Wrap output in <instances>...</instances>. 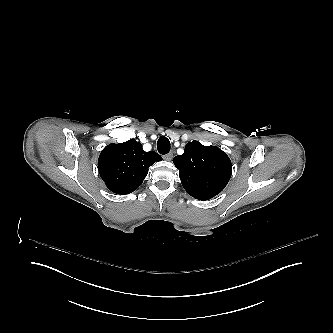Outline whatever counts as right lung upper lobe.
I'll use <instances>...</instances> for the list:
<instances>
[{
    "label": "right lung upper lobe",
    "mask_w": 333,
    "mask_h": 333,
    "mask_svg": "<svg viewBox=\"0 0 333 333\" xmlns=\"http://www.w3.org/2000/svg\"><path fill=\"white\" fill-rule=\"evenodd\" d=\"M162 157L156 152H145L135 139L109 144L98 159V170L107 187L116 194L135 191L145 179L148 168Z\"/></svg>",
    "instance_id": "cb5924a9"
}]
</instances>
